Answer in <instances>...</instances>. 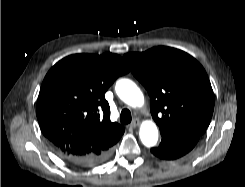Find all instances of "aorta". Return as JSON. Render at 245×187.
I'll list each match as a JSON object with an SVG mask.
<instances>
[{"mask_svg": "<svg viewBox=\"0 0 245 187\" xmlns=\"http://www.w3.org/2000/svg\"><path fill=\"white\" fill-rule=\"evenodd\" d=\"M115 90L119 98L132 107H140L144 103V96L140 88L129 79L118 80ZM139 135L145 146H154L158 141V129L156 124L152 121L143 122L140 127Z\"/></svg>", "mask_w": 245, "mask_h": 187, "instance_id": "1", "label": "aorta"}]
</instances>
